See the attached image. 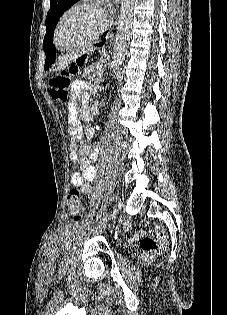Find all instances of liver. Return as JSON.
<instances>
[{
    "label": "liver",
    "mask_w": 227,
    "mask_h": 315,
    "mask_svg": "<svg viewBox=\"0 0 227 315\" xmlns=\"http://www.w3.org/2000/svg\"><path fill=\"white\" fill-rule=\"evenodd\" d=\"M79 55H70V56H65L63 57L62 59H60L58 61V64H57V69H63L64 67L68 66V64L70 63V61L72 59H75L77 58Z\"/></svg>",
    "instance_id": "6515ba94"
}]
</instances>
